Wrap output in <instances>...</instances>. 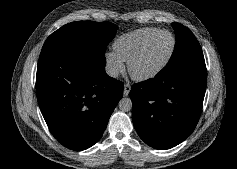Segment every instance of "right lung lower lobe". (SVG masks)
Instances as JSON below:
<instances>
[{
    "instance_id": "right-lung-lower-lobe-1",
    "label": "right lung lower lobe",
    "mask_w": 237,
    "mask_h": 169,
    "mask_svg": "<svg viewBox=\"0 0 237 169\" xmlns=\"http://www.w3.org/2000/svg\"><path fill=\"white\" fill-rule=\"evenodd\" d=\"M105 64V56L97 53L40 54L38 103L53 136L69 149L93 146L122 98L123 83L105 73Z\"/></svg>"
}]
</instances>
